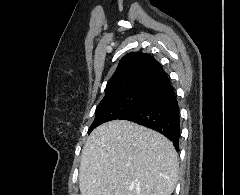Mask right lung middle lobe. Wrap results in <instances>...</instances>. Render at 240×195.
<instances>
[{
	"label": "right lung middle lobe",
	"instance_id": "obj_1",
	"mask_svg": "<svg viewBox=\"0 0 240 195\" xmlns=\"http://www.w3.org/2000/svg\"><path fill=\"white\" fill-rule=\"evenodd\" d=\"M146 94L142 92H123L105 96L96 109L95 119L90 126V131L102 123L119 119L127 114L144 100Z\"/></svg>",
	"mask_w": 240,
	"mask_h": 195
}]
</instances>
